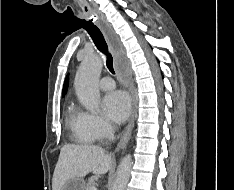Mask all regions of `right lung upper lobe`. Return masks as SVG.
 Masks as SVG:
<instances>
[{
  "mask_svg": "<svg viewBox=\"0 0 234 190\" xmlns=\"http://www.w3.org/2000/svg\"><path fill=\"white\" fill-rule=\"evenodd\" d=\"M68 82H69V77L67 76L66 79H65V83H64V86H63V96L64 94L66 93L67 91V88H68Z\"/></svg>",
  "mask_w": 234,
  "mask_h": 190,
  "instance_id": "cb5924a9",
  "label": "right lung upper lobe"
}]
</instances>
